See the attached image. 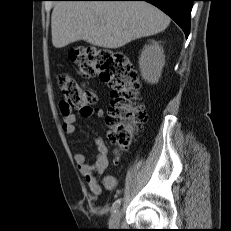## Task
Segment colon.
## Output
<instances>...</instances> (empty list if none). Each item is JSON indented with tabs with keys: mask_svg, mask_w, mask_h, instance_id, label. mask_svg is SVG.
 Returning <instances> with one entry per match:
<instances>
[{
	"mask_svg": "<svg viewBox=\"0 0 231 231\" xmlns=\"http://www.w3.org/2000/svg\"><path fill=\"white\" fill-rule=\"evenodd\" d=\"M71 57L82 77L99 75L108 84L112 95L107 116L110 139L121 149H127L133 139L132 127L144 123L147 118L143 107L135 102L140 81L134 66L125 53L110 48L88 47L72 52ZM58 84L63 97L60 106L65 115L74 109H89L97 101L92 91L67 74L58 76Z\"/></svg>",
	"mask_w": 231,
	"mask_h": 231,
	"instance_id": "1",
	"label": "colon"
}]
</instances>
